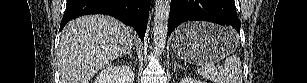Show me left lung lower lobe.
I'll return each instance as SVG.
<instances>
[{
  "mask_svg": "<svg viewBox=\"0 0 307 83\" xmlns=\"http://www.w3.org/2000/svg\"><path fill=\"white\" fill-rule=\"evenodd\" d=\"M188 20L229 24L240 32L234 0H171L168 34Z\"/></svg>",
  "mask_w": 307,
  "mask_h": 83,
  "instance_id": "obj_1",
  "label": "left lung lower lobe"
}]
</instances>
